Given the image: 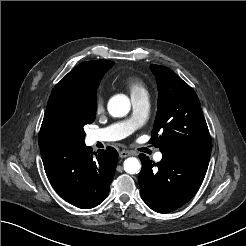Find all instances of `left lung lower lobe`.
Wrapping results in <instances>:
<instances>
[{
	"instance_id": "0a47b994",
	"label": "left lung lower lobe",
	"mask_w": 246,
	"mask_h": 246,
	"mask_svg": "<svg viewBox=\"0 0 246 246\" xmlns=\"http://www.w3.org/2000/svg\"><path fill=\"white\" fill-rule=\"evenodd\" d=\"M161 152L162 160L158 163L139 155L142 162L139 185L144 202L156 212L167 213L187 203L197 192L211 151L176 148Z\"/></svg>"
}]
</instances>
